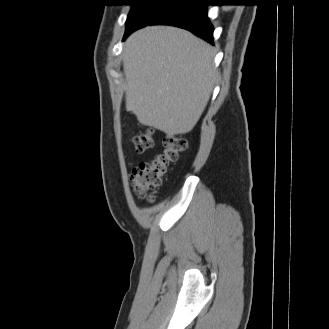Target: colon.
Here are the masks:
<instances>
[{
	"label": "colon",
	"instance_id": "colon-1",
	"mask_svg": "<svg viewBox=\"0 0 329 329\" xmlns=\"http://www.w3.org/2000/svg\"><path fill=\"white\" fill-rule=\"evenodd\" d=\"M134 150L143 153L154 147L152 129L147 128L131 139ZM187 142L179 135H167L163 141V149L150 161L141 163L131 174V187L142 200L153 201L152 191L158 189L163 182L171 164L177 162L186 150Z\"/></svg>",
	"mask_w": 329,
	"mask_h": 329
}]
</instances>
